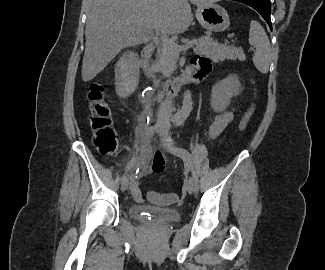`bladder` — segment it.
Masks as SVG:
<instances>
[{
	"instance_id": "31cf9c89",
	"label": "bladder",
	"mask_w": 325,
	"mask_h": 270,
	"mask_svg": "<svg viewBox=\"0 0 325 270\" xmlns=\"http://www.w3.org/2000/svg\"><path fill=\"white\" fill-rule=\"evenodd\" d=\"M129 214L134 219L152 220L160 224L176 222L181 218L178 210L173 208H161L143 204H132Z\"/></svg>"
}]
</instances>
